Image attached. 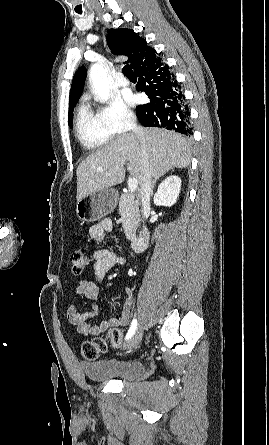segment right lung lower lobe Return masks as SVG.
<instances>
[{
  "label": "right lung lower lobe",
  "mask_w": 269,
  "mask_h": 445,
  "mask_svg": "<svg viewBox=\"0 0 269 445\" xmlns=\"http://www.w3.org/2000/svg\"><path fill=\"white\" fill-rule=\"evenodd\" d=\"M137 91L147 94L150 103L136 108L143 126L163 127L185 135L192 134L185 95L181 87L160 58H153L135 71Z\"/></svg>",
  "instance_id": "98d812e1"
}]
</instances>
